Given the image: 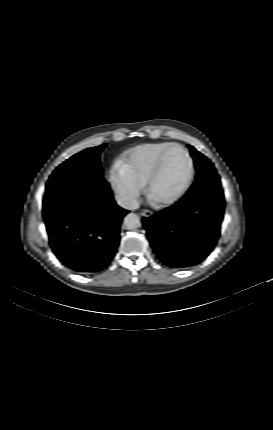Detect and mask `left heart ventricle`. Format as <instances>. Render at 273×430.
<instances>
[{"label": "left heart ventricle", "mask_w": 273, "mask_h": 430, "mask_svg": "<svg viewBox=\"0 0 273 430\" xmlns=\"http://www.w3.org/2000/svg\"><path fill=\"white\" fill-rule=\"evenodd\" d=\"M188 171V161L179 149L167 153L162 164L161 172L152 187L155 199H165L172 196L182 185Z\"/></svg>", "instance_id": "1"}]
</instances>
